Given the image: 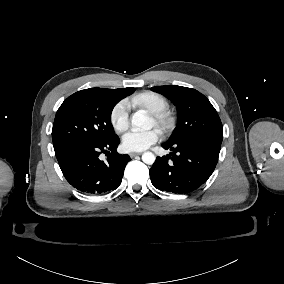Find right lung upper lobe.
Here are the masks:
<instances>
[{
  "mask_svg": "<svg viewBox=\"0 0 284 284\" xmlns=\"http://www.w3.org/2000/svg\"><path fill=\"white\" fill-rule=\"evenodd\" d=\"M106 90L110 92L111 94H113L120 101L124 97L132 94L135 89L133 87H129V88H122V89H106Z\"/></svg>",
  "mask_w": 284,
  "mask_h": 284,
  "instance_id": "1",
  "label": "right lung upper lobe"
}]
</instances>
